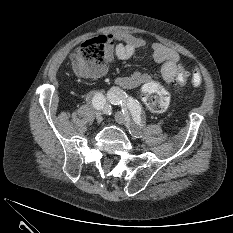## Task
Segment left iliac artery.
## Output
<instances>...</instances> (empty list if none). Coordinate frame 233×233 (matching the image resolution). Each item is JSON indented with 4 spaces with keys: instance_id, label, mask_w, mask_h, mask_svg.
I'll list each match as a JSON object with an SVG mask.
<instances>
[{
    "instance_id": "44dca946",
    "label": "left iliac artery",
    "mask_w": 233,
    "mask_h": 233,
    "mask_svg": "<svg viewBox=\"0 0 233 233\" xmlns=\"http://www.w3.org/2000/svg\"><path fill=\"white\" fill-rule=\"evenodd\" d=\"M107 99L114 105H121L124 111H127V109L130 110L135 123L140 127L143 126V121L141 119V108L137 101L131 97H128L125 92L117 87H113L110 89V91H108Z\"/></svg>"
}]
</instances>
